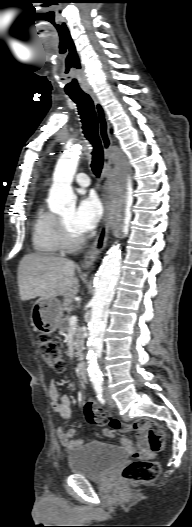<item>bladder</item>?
I'll return each instance as SVG.
<instances>
[{
  "label": "bladder",
  "instance_id": "obj_1",
  "mask_svg": "<svg viewBox=\"0 0 192 527\" xmlns=\"http://www.w3.org/2000/svg\"><path fill=\"white\" fill-rule=\"evenodd\" d=\"M126 453L111 444L92 441L73 450L68 456L70 471L90 480H101L121 465Z\"/></svg>",
  "mask_w": 192,
  "mask_h": 527
}]
</instances>
